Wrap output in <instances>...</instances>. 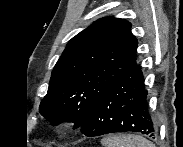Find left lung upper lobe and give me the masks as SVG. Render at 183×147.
<instances>
[{
  "label": "left lung upper lobe",
  "instance_id": "obj_1",
  "mask_svg": "<svg viewBox=\"0 0 183 147\" xmlns=\"http://www.w3.org/2000/svg\"><path fill=\"white\" fill-rule=\"evenodd\" d=\"M137 44L131 24L119 18L99 19L77 34L52 71L41 115L81 127L105 91L136 65Z\"/></svg>",
  "mask_w": 183,
  "mask_h": 147
}]
</instances>
